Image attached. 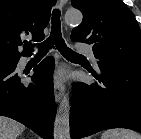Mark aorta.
Returning a JSON list of instances; mask_svg holds the SVG:
<instances>
[{
  "mask_svg": "<svg viewBox=\"0 0 141 139\" xmlns=\"http://www.w3.org/2000/svg\"><path fill=\"white\" fill-rule=\"evenodd\" d=\"M82 18V13L78 10H69L65 14L67 24H80ZM69 119L70 102L68 94H65L58 106L54 121V139H70Z\"/></svg>",
  "mask_w": 141,
  "mask_h": 139,
  "instance_id": "aorta-1",
  "label": "aorta"
}]
</instances>
